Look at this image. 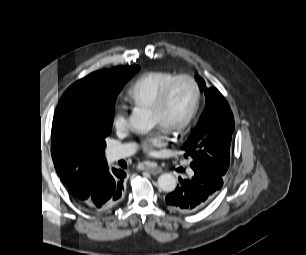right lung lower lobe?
Returning a JSON list of instances; mask_svg holds the SVG:
<instances>
[{
    "instance_id": "right-lung-lower-lobe-1",
    "label": "right lung lower lobe",
    "mask_w": 306,
    "mask_h": 255,
    "mask_svg": "<svg viewBox=\"0 0 306 255\" xmlns=\"http://www.w3.org/2000/svg\"><path fill=\"white\" fill-rule=\"evenodd\" d=\"M125 177L126 173L121 169L109 171L106 163L72 181L69 189L80 203L94 210L105 211L120 201Z\"/></svg>"
}]
</instances>
